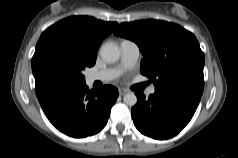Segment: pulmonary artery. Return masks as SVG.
I'll return each mask as SVG.
<instances>
[{"instance_id": "1", "label": "pulmonary artery", "mask_w": 238, "mask_h": 158, "mask_svg": "<svg viewBox=\"0 0 238 158\" xmlns=\"http://www.w3.org/2000/svg\"><path fill=\"white\" fill-rule=\"evenodd\" d=\"M120 51L121 63L118 67L91 73L87 77V82L91 84L95 81L107 82L114 80L120 75L123 70L131 68L135 65L139 57V48L135 42L131 40H122L120 43ZM154 93L155 87H149L147 94L152 95Z\"/></svg>"}]
</instances>
